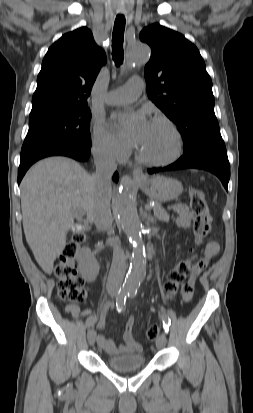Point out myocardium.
Returning <instances> with one entry per match:
<instances>
[{
  "mask_svg": "<svg viewBox=\"0 0 253 413\" xmlns=\"http://www.w3.org/2000/svg\"><path fill=\"white\" fill-rule=\"evenodd\" d=\"M152 122L162 123V124H164L168 127V129L170 130V132L172 133L173 138H174V142H175L174 151L167 158L154 159V158H150V157L146 156L143 152H141L138 149L137 152H136L137 158L141 162H143L147 165H151V166L161 167V166L170 165V164L174 163L175 161H177L180 158V156L182 155L183 148H184V142H183L182 135H181L178 127L176 126V124L166 116H162V115L156 116L152 119Z\"/></svg>",
  "mask_w": 253,
  "mask_h": 413,
  "instance_id": "obj_1",
  "label": "myocardium"
}]
</instances>
